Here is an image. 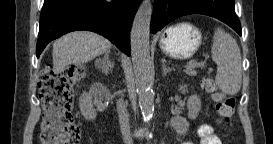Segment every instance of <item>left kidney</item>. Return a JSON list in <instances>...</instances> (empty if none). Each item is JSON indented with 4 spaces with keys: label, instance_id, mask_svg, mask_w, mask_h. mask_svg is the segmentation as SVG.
Listing matches in <instances>:
<instances>
[{
    "label": "left kidney",
    "instance_id": "5707ae66",
    "mask_svg": "<svg viewBox=\"0 0 273 144\" xmlns=\"http://www.w3.org/2000/svg\"><path fill=\"white\" fill-rule=\"evenodd\" d=\"M179 90L182 93L187 92V89L180 86ZM188 118L196 119L201 109V100L197 95H191L187 101ZM171 126L176 130L177 134L185 135L189 129L188 121L183 117H174L171 119Z\"/></svg>",
    "mask_w": 273,
    "mask_h": 144
}]
</instances>
